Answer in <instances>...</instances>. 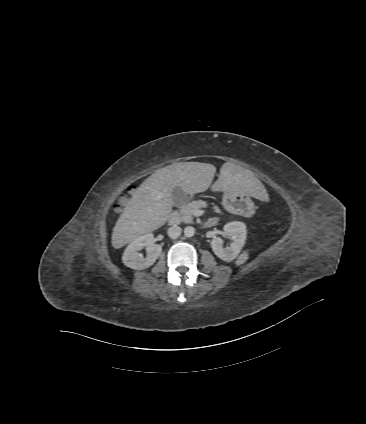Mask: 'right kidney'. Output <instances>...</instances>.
<instances>
[{
    "label": "right kidney",
    "instance_id": "1",
    "mask_svg": "<svg viewBox=\"0 0 366 424\" xmlns=\"http://www.w3.org/2000/svg\"><path fill=\"white\" fill-rule=\"evenodd\" d=\"M146 248L148 255L143 257L139 251ZM162 247L153 243L151 233L141 235L134 239L125 249L122 261L124 265L135 270H143L154 264L160 256Z\"/></svg>",
    "mask_w": 366,
    "mask_h": 424
}]
</instances>
